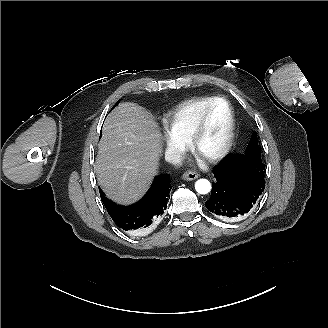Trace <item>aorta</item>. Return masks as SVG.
<instances>
[{
    "label": "aorta",
    "instance_id": "aorta-1",
    "mask_svg": "<svg viewBox=\"0 0 328 328\" xmlns=\"http://www.w3.org/2000/svg\"><path fill=\"white\" fill-rule=\"evenodd\" d=\"M195 189L199 194H207L211 191V184L207 179H199L195 183Z\"/></svg>",
    "mask_w": 328,
    "mask_h": 328
}]
</instances>
